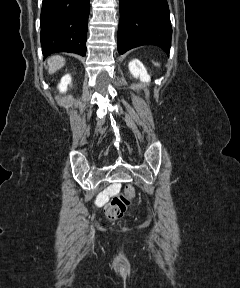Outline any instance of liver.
<instances>
[{
  "mask_svg": "<svg viewBox=\"0 0 240 288\" xmlns=\"http://www.w3.org/2000/svg\"><path fill=\"white\" fill-rule=\"evenodd\" d=\"M65 65V58L62 56L56 55L52 56L48 59V72L49 74H53L56 71H58L60 68H62Z\"/></svg>",
  "mask_w": 240,
  "mask_h": 288,
  "instance_id": "6515ba94",
  "label": "liver"
}]
</instances>
